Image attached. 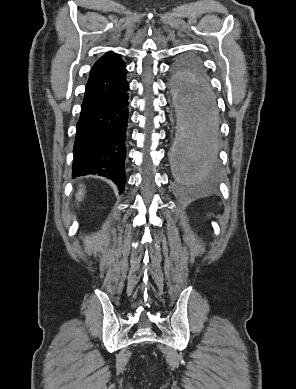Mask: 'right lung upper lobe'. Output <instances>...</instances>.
I'll list each match as a JSON object with an SVG mask.
<instances>
[{
  "label": "right lung upper lobe",
  "mask_w": 296,
  "mask_h": 389,
  "mask_svg": "<svg viewBox=\"0 0 296 389\" xmlns=\"http://www.w3.org/2000/svg\"><path fill=\"white\" fill-rule=\"evenodd\" d=\"M126 67L120 56L108 52L92 67L82 105L117 93L128 82Z\"/></svg>",
  "instance_id": "obj_1"
}]
</instances>
